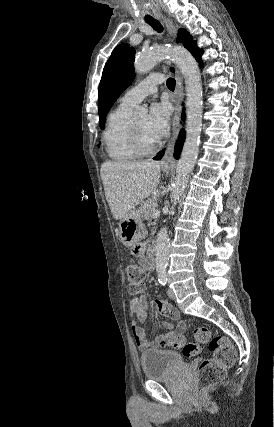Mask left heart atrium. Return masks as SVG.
<instances>
[{"label": "left heart atrium", "instance_id": "1", "mask_svg": "<svg viewBox=\"0 0 274 427\" xmlns=\"http://www.w3.org/2000/svg\"><path fill=\"white\" fill-rule=\"evenodd\" d=\"M170 109L167 103H155L151 106L147 129L150 135L156 139H161L168 132L170 127Z\"/></svg>", "mask_w": 274, "mask_h": 427}]
</instances>
